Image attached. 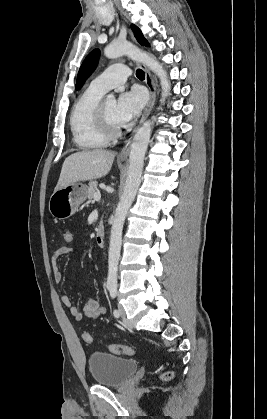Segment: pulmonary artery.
<instances>
[{
	"mask_svg": "<svg viewBox=\"0 0 267 419\" xmlns=\"http://www.w3.org/2000/svg\"><path fill=\"white\" fill-rule=\"evenodd\" d=\"M130 75V69L123 64H114L94 78L90 87L99 92L106 93L112 88L123 84Z\"/></svg>",
	"mask_w": 267,
	"mask_h": 419,
	"instance_id": "obj_1",
	"label": "pulmonary artery"
}]
</instances>
